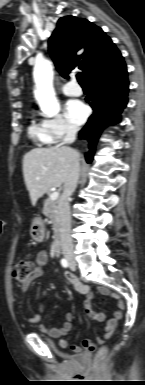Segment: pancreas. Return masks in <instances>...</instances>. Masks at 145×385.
I'll use <instances>...</instances> for the list:
<instances>
[{
	"instance_id": "1",
	"label": "pancreas",
	"mask_w": 145,
	"mask_h": 385,
	"mask_svg": "<svg viewBox=\"0 0 145 385\" xmlns=\"http://www.w3.org/2000/svg\"><path fill=\"white\" fill-rule=\"evenodd\" d=\"M43 214L53 223V230L57 236L59 232V214L57 201H52L50 198H47L44 202Z\"/></svg>"
}]
</instances>
